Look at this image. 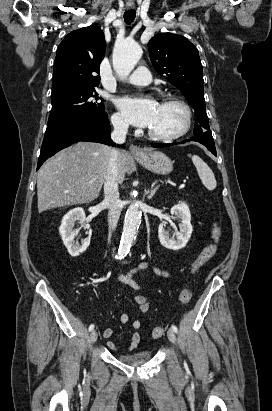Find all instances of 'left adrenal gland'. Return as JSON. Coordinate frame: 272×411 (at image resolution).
<instances>
[{
	"instance_id": "a2214340",
	"label": "left adrenal gland",
	"mask_w": 272,
	"mask_h": 411,
	"mask_svg": "<svg viewBox=\"0 0 272 411\" xmlns=\"http://www.w3.org/2000/svg\"><path fill=\"white\" fill-rule=\"evenodd\" d=\"M158 186L154 187L152 190H145L148 199H152V197L156 194L158 190Z\"/></svg>"
}]
</instances>
